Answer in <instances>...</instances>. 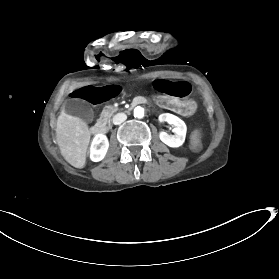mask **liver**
Wrapping results in <instances>:
<instances>
[{"instance_id":"liver-1","label":"liver","mask_w":279,"mask_h":279,"mask_svg":"<svg viewBox=\"0 0 279 279\" xmlns=\"http://www.w3.org/2000/svg\"><path fill=\"white\" fill-rule=\"evenodd\" d=\"M56 124V141L61 155L73 167L83 168L91 137L87 124L81 118L67 114L65 106H62Z\"/></svg>"}]
</instances>
